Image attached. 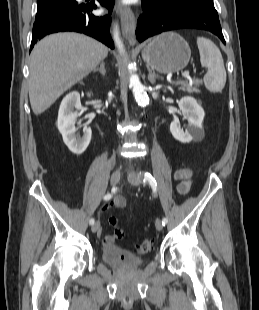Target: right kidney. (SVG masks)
Wrapping results in <instances>:
<instances>
[{"label": "right kidney", "instance_id": "ca27d5eb", "mask_svg": "<svg viewBox=\"0 0 259 310\" xmlns=\"http://www.w3.org/2000/svg\"><path fill=\"white\" fill-rule=\"evenodd\" d=\"M81 107L80 94L76 91L69 93L61 102L57 120V127L64 143L76 155H81L87 149L92 135L91 128L86 126L83 129V136L76 137L75 120L78 112L75 109L79 110Z\"/></svg>", "mask_w": 259, "mask_h": 310}]
</instances>
